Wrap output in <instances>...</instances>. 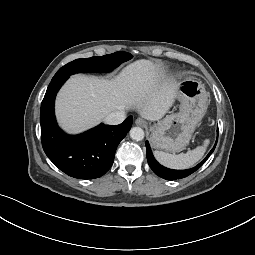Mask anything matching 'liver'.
<instances>
[{
  "mask_svg": "<svg viewBox=\"0 0 255 255\" xmlns=\"http://www.w3.org/2000/svg\"><path fill=\"white\" fill-rule=\"evenodd\" d=\"M177 91V82L166 79L159 65L137 60L111 80L72 76L58 94L56 114L60 125L70 133L89 129L112 112L129 109L158 121L173 105Z\"/></svg>",
  "mask_w": 255,
  "mask_h": 255,
  "instance_id": "1",
  "label": "liver"
}]
</instances>
